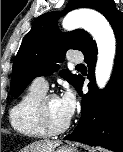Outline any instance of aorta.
<instances>
[{"instance_id": "1", "label": "aorta", "mask_w": 123, "mask_h": 152, "mask_svg": "<svg viewBox=\"0 0 123 152\" xmlns=\"http://www.w3.org/2000/svg\"><path fill=\"white\" fill-rule=\"evenodd\" d=\"M62 26L68 31L83 28L93 36L98 48L96 83L104 88L110 79L116 53L115 35L107 19L96 11L78 10L67 14Z\"/></svg>"}]
</instances>
